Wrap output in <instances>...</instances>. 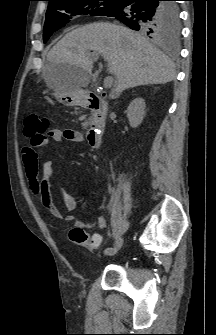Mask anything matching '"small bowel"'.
Segmentation results:
<instances>
[{"instance_id":"c3829d8e","label":"small bowel","mask_w":216,"mask_h":335,"mask_svg":"<svg viewBox=\"0 0 216 335\" xmlns=\"http://www.w3.org/2000/svg\"><path fill=\"white\" fill-rule=\"evenodd\" d=\"M55 142H61L63 140L70 142H82L83 135L81 132L73 129H51L45 139L35 148L26 147L23 149V164L25 174L27 176L30 188L32 192L39 198L43 207L55 218L62 219L63 215L60 209L52 202L49 195V187L54 181L53 164L51 160H45L42 165L43 183L40 184L38 175V158L40 151L48 144L49 140ZM60 196L64 202L65 209L67 211H73L77 202L65 191L60 190ZM65 221L73 226L80 228H91L97 227L102 230L106 226V221L102 216L95 217L91 222H84L77 220L74 216H67ZM92 237H98L101 240V236L97 233L93 234Z\"/></svg>"}]
</instances>
